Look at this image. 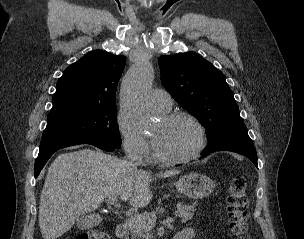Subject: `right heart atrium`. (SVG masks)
Wrapping results in <instances>:
<instances>
[{"label":"right heart atrium","mask_w":304,"mask_h":239,"mask_svg":"<svg viewBox=\"0 0 304 239\" xmlns=\"http://www.w3.org/2000/svg\"><path fill=\"white\" fill-rule=\"evenodd\" d=\"M117 125L126 153L132 157L147 156L149 144L146 137L134 126L130 117L123 110L118 113Z\"/></svg>","instance_id":"right-heart-atrium-1"}]
</instances>
